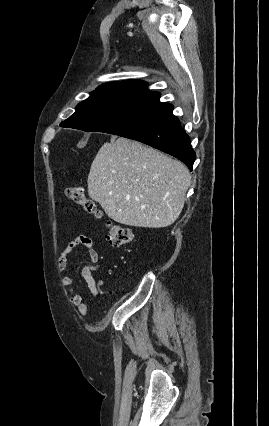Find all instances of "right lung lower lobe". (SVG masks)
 <instances>
[{"mask_svg":"<svg viewBox=\"0 0 269 426\" xmlns=\"http://www.w3.org/2000/svg\"><path fill=\"white\" fill-rule=\"evenodd\" d=\"M172 111L171 104L159 102L141 122L117 135L140 141L168 153L192 170L196 154L188 135ZM60 126L64 127L62 124Z\"/></svg>","mask_w":269,"mask_h":426,"instance_id":"obj_1","label":"right lung lower lobe"}]
</instances>
